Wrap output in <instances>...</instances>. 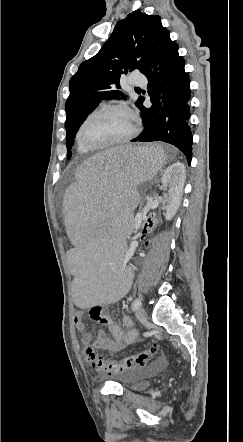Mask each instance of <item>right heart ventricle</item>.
<instances>
[{
	"label": "right heart ventricle",
	"instance_id": "obj_1",
	"mask_svg": "<svg viewBox=\"0 0 243 442\" xmlns=\"http://www.w3.org/2000/svg\"><path fill=\"white\" fill-rule=\"evenodd\" d=\"M100 108H102V107H101V106L97 107V108H96L95 110H93L91 113L95 112L96 110H98V109H100ZM91 113H90V114H91ZM77 149H78V151H79L80 153H86V152L89 151L87 148H85V147L80 143V141H79V139H78V133H77Z\"/></svg>",
	"mask_w": 243,
	"mask_h": 442
}]
</instances>
